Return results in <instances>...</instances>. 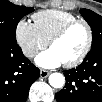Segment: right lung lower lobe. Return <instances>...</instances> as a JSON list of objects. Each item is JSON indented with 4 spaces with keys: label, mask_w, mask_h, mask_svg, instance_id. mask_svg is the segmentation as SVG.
<instances>
[{
    "label": "right lung lower lobe",
    "mask_w": 102,
    "mask_h": 102,
    "mask_svg": "<svg viewBox=\"0 0 102 102\" xmlns=\"http://www.w3.org/2000/svg\"><path fill=\"white\" fill-rule=\"evenodd\" d=\"M40 76L18 44L0 42V97L2 102H25L31 84Z\"/></svg>",
    "instance_id": "98d812e1"
}]
</instances>
